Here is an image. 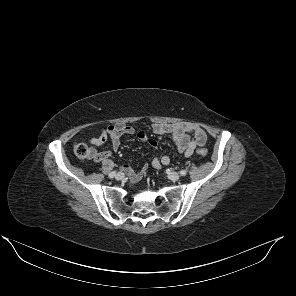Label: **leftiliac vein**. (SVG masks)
<instances>
[{"label":"left iliac vein","instance_id":"1","mask_svg":"<svg viewBox=\"0 0 296 296\" xmlns=\"http://www.w3.org/2000/svg\"><path fill=\"white\" fill-rule=\"evenodd\" d=\"M168 178L172 181H178L180 178V175L179 173L172 171L168 173Z\"/></svg>","mask_w":296,"mask_h":296}]
</instances>
